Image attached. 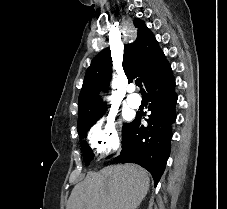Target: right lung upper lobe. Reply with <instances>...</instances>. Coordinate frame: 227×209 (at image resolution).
<instances>
[{
	"label": "right lung upper lobe",
	"instance_id": "1",
	"mask_svg": "<svg viewBox=\"0 0 227 209\" xmlns=\"http://www.w3.org/2000/svg\"><path fill=\"white\" fill-rule=\"evenodd\" d=\"M134 25L137 28V38L133 43L124 46L123 69L129 80L140 77L146 86L167 61L144 22L135 19ZM111 74V53L110 49L106 48L94 57L86 71L78 100V118L98 115L106 109L97 94L102 86L103 90L107 89Z\"/></svg>",
	"mask_w": 227,
	"mask_h": 209
}]
</instances>
